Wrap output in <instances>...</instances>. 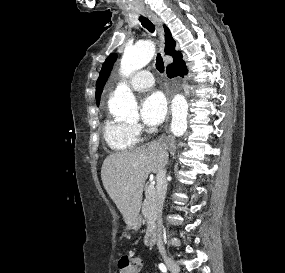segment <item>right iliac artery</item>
<instances>
[{"instance_id": "obj_1", "label": "right iliac artery", "mask_w": 285, "mask_h": 273, "mask_svg": "<svg viewBox=\"0 0 285 273\" xmlns=\"http://www.w3.org/2000/svg\"><path fill=\"white\" fill-rule=\"evenodd\" d=\"M159 269L163 272V273H167V268L163 263L159 264Z\"/></svg>"}]
</instances>
